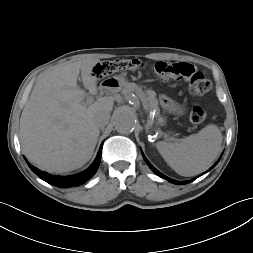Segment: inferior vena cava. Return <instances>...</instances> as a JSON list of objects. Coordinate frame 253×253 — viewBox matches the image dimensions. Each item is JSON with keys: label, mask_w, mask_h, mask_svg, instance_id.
<instances>
[{"label": "inferior vena cava", "mask_w": 253, "mask_h": 253, "mask_svg": "<svg viewBox=\"0 0 253 253\" xmlns=\"http://www.w3.org/2000/svg\"><path fill=\"white\" fill-rule=\"evenodd\" d=\"M109 119H110V114L108 112L103 111L96 115L95 123L99 128H103L108 124Z\"/></svg>", "instance_id": "inferior-vena-cava-1"}]
</instances>
